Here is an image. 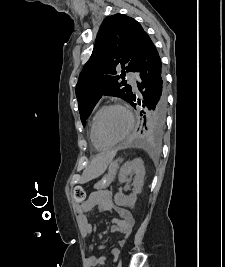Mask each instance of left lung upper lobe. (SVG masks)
I'll list each match as a JSON object with an SVG mask.
<instances>
[{"instance_id": "5c2ea615", "label": "left lung upper lobe", "mask_w": 225, "mask_h": 267, "mask_svg": "<svg viewBox=\"0 0 225 267\" xmlns=\"http://www.w3.org/2000/svg\"><path fill=\"white\" fill-rule=\"evenodd\" d=\"M146 35L139 22L129 16L115 14L104 19L92 55L81 71L76 85L78 108L83 125L103 95L120 97L130 102L132 88L119 79H123L125 71L134 72ZM120 66L122 72L118 75L116 69ZM143 114L145 129L152 134H160L165 120L158 122L147 111Z\"/></svg>"}]
</instances>
